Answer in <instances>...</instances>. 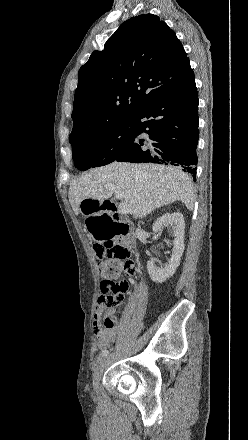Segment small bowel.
I'll list each match as a JSON object with an SVG mask.
<instances>
[{"instance_id": "1", "label": "small bowel", "mask_w": 248, "mask_h": 440, "mask_svg": "<svg viewBox=\"0 0 248 440\" xmlns=\"http://www.w3.org/2000/svg\"><path fill=\"white\" fill-rule=\"evenodd\" d=\"M105 309L96 308L94 317H93V332L95 337L97 338V347L100 350H106L110 346L111 343L114 342L116 335H117V326L116 324L112 327H103L102 326V315L104 313ZM114 310L109 309L106 311V317L107 316H113Z\"/></svg>"}]
</instances>
